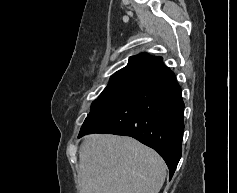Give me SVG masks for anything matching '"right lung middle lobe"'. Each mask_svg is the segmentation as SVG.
<instances>
[{"label": "right lung middle lobe", "mask_w": 237, "mask_h": 193, "mask_svg": "<svg viewBox=\"0 0 237 193\" xmlns=\"http://www.w3.org/2000/svg\"><path fill=\"white\" fill-rule=\"evenodd\" d=\"M144 70L115 75L100 96L92 102L88 117L106 111L127 98L141 83Z\"/></svg>", "instance_id": "right-lung-middle-lobe-1"}]
</instances>
